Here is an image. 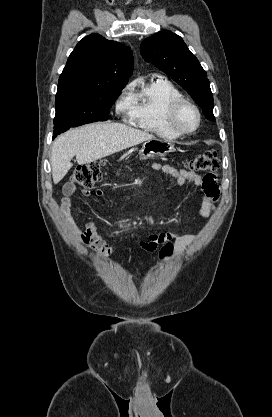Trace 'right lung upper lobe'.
I'll return each instance as SVG.
<instances>
[{"label":"right lung upper lobe","mask_w":272,"mask_h":417,"mask_svg":"<svg viewBox=\"0 0 272 417\" xmlns=\"http://www.w3.org/2000/svg\"><path fill=\"white\" fill-rule=\"evenodd\" d=\"M133 71L131 49L92 33L70 54L56 97L95 94L124 88Z\"/></svg>","instance_id":"cb5924a9"}]
</instances>
